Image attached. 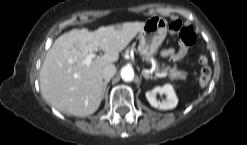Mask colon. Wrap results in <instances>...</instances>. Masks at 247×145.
<instances>
[{
  "label": "colon",
  "instance_id": "5ec220e1",
  "mask_svg": "<svg viewBox=\"0 0 247 145\" xmlns=\"http://www.w3.org/2000/svg\"><path fill=\"white\" fill-rule=\"evenodd\" d=\"M169 29L171 34L178 39L181 48L193 45L197 41V35L193 27L184 26L181 20L173 21ZM198 62L201 65L199 83L201 86H206L211 78V68L208 66V59L204 55L199 56Z\"/></svg>",
  "mask_w": 247,
  "mask_h": 145
}]
</instances>
